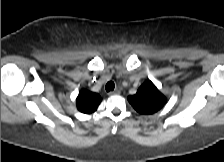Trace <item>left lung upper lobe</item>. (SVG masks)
I'll return each mask as SVG.
<instances>
[{"mask_svg": "<svg viewBox=\"0 0 224 162\" xmlns=\"http://www.w3.org/2000/svg\"><path fill=\"white\" fill-rule=\"evenodd\" d=\"M133 108L141 114H153L163 107L166 97L150 81H145L137 93L128 97Z\"/></svg>", "mask_w": 224, "mask_h": 162, "instance_id": "left-lung-upper-lobe-1", "label": "left lung upper lobe"}]
</instances>
